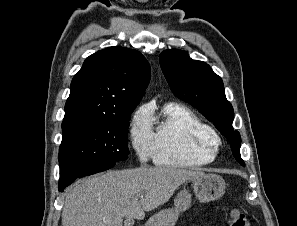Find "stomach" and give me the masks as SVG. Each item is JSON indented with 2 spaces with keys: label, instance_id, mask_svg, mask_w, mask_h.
<instances>
[{
  "label": "stomach",
  "instance_id": "1",
  "mask_svg": "<svg viewBox=\"0 0 297 226\" xmlns=\"http://www.w3.org/2000/svg\"><path fill=\"white\" fill-rule=\"evenodd\" d=\"M192 187L196 198L200 202L215 201L223 196L225 191L224 179L216 174H205L193 180ZM191 204V194L188 190H181L175 200L174 208L159 211L148 219L145 226H174L180 213L186 211Z\"/></svg>",
  "mask_w": 297,
  "mask_h": 226
}]
</instances>
